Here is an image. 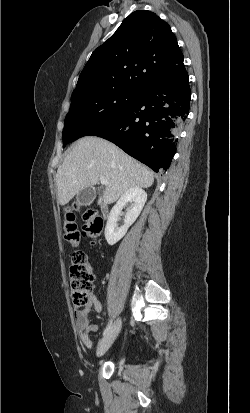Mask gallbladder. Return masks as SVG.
Returning a JSON list of instances; mask_svg holds the SVG:
<instances>
[{"mask_svg": "<svg viewBox=\"0 0 250 413\" xmlns=\"http://www.w3.org/2000/svg\"><path fill=\"white\" fill-rule=\"evenodd\" d=\"M95 196H96L95 190L92 187H87L77 194L76 196L77 204L85 205V206L90 205L95 199Z\"/></svg>", "mask_w": 250, "mask_h": 413, "instance_id": "obj_1", "label": "gallbladder"}]
</instances>
